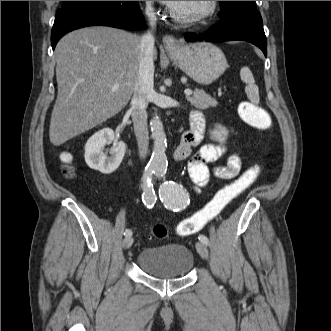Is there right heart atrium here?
I'll return each mask as SVG.
<instances>
[{
	"mask_svg": "<svg viewBox=\"0 0 331 331\" xmlns=\"http://www.w3.org/2000/svg\"><path fill=\"white\" fill-rule=\"evenodd\" d=\"M152 5H153V1H145L146 10L148 11L152 10Z\"/></svg>",
	"mask_w": 331,
	"mask_h": 331,
	"instance_id": "1",
	"label": "right heart atrium"
}]
</instances>
